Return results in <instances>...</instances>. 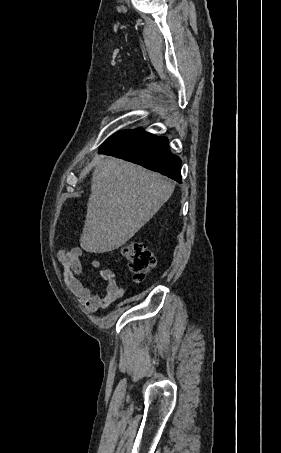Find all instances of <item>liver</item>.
Here are the masks:
<instances>
[{"instance_id": "liver-1", "label": "liver", "mask_w": 281, "mask_h": 453, "mask_svg": "<svg viewBox=\"0 0 281 453\" xmlns=\"http://www.w3.org/2000/svg\"><path fill=\"white\" fill-rule=\"evenodd\" d=\"M94 166L80 247L87 253H108L144 227L175 184L158 172L104 154H96Z\"/></svg>"}]
</instances>
